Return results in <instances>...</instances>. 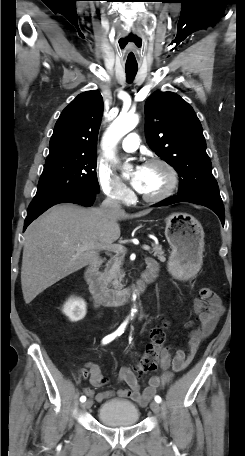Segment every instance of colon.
<instances>
[{"label":"colon","mask_w":245,"mask_h":456,"mask_svg":"<svg viewBox=\"0 0 245 456\" xmlns=\"http://www.w3.org/2000/svg\"><path fill=\"white\" fill-rule=\"evenodd\" d=\"M166 328L167 324L163 322L152 330L150 341L145 347L142 358L133 367V372L137 376H143L157 368L164 350V344L166 341Z\"/></svg>","instance_id":"1"}]
</instances>
